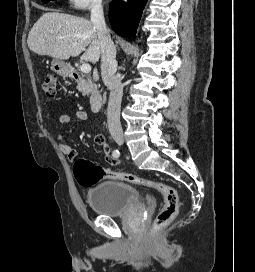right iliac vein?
I'll list each match as a JSON object with an SVG mask.
<instances>
[{
    "instance_id": "right-iliac-vein-1",
    "label": "right iliac vein",
    "mask_w": 255,
    "mask_h": 272,
    "mask_svg": "<svg viewBox=\"0 0 255 272\" xmlns=\"http://www.w3.org/2000/svg\"><path fill=\"white\" fill-rule=\"evenodd\" d=\"M114 140L119 144V145H122L123 142H124V136L123 134H115L113 136Z\"/></svg>"
}]
</instances>
